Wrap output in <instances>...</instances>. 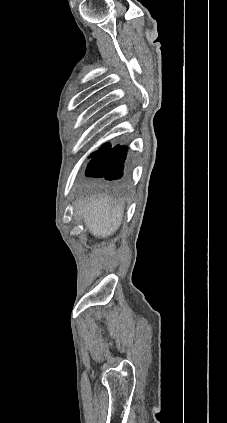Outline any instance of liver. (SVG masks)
<instances>
[{"label":"liver","mask_w":227,"mask_h":423,"mask_svg":"<svg viewBox=\"0 0 227 423\" xmlns=\"http://www.w3.org/2000/svg\"><path fill=\"white\" fill-rule=\"evenodd\" d=\"M79 215L87 231L94 237H109L116 233L123 219V206L112 208L110 196H99V198H79L77 200Z\"/></svg>","instance_id":"liver-1"}]
</instances>
